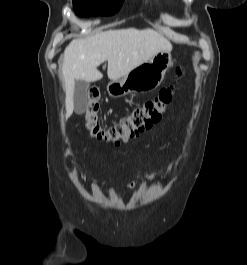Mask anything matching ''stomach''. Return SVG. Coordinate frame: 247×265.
<instances>
[{
  "label": "stomach",
  "instance_id": "obj_1",
  "mask_svg": "<svg viewBox=\"0 0 247 265\" xmlns=\"http://www.w3.org/2000/svg\"><path fill=\"white\" fill-rule=\"evenodd\" d=\"M171 65V50L160 51L120 80L111 81L107 85V91L111 97L119 98L130 93L156 89Z\"/></svg>",
  "mask_w": 247,
  "mask_h": 265
}]
</instances>
